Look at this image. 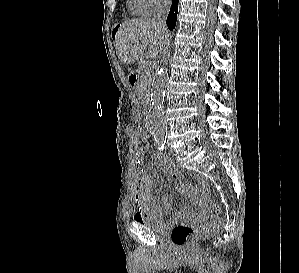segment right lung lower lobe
I'll return each instance as SVG.
<instances>
[{
    "mask_svg": "<svg viewBox=\"0 0 299 273\" xmlns=\"http://www.w3.org/2000/svg\"><path fill=\"white\" fill-rule=\"evenodd\" d=\"M178 2L179 0H172L171 9L167 17V26L171 31L174 29L177 20Z\"/></svg>",
    "mask_w": 299,
    "mask_h": 273,
    "instance_id": "1",
    "label": "right lung lower lobe"
}]
</instances>
